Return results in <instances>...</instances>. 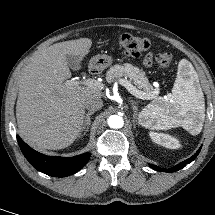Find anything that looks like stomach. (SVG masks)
<instances>
[{
	"label": "stomach",
	"instance_id": "obj_1",
	"mask_svg": "<svg viewBox=\"0 0 215 215\" xmlns=\"http://www.w3.org/2000/svg\"><path fill=\"white\" fill-rule=\"evenodd\" d=\"M90 64L96 70H104L112 64V57L108 55L99 54L91 58ZM138 119H139V123L142 126L146 127V123L144 121H141L140 118Z\"/></svg>",
	"mask_w": 215,
	"mask_h": 215
}]
</instances>
